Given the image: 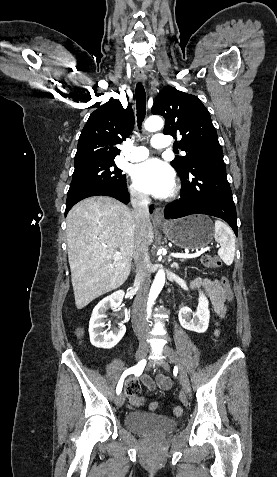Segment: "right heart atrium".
<instances>
[{
    "mask_svg": "<svg viewBox=\"0 0 277 477\" xmlns=\"http://www.w3.org/2000/svg\"><path fill=\"white\" fill-rule=\"evenodd\" d=\"M129 192L132 199L137 202H145L147 200L146 194L134 184L129 186Z\"/></svg>",
    "mask_w": 277,
    "mask_h": 477,
    "instance_id": "obj_1",
    "label": "right heart atrium"
}]
</instances>
